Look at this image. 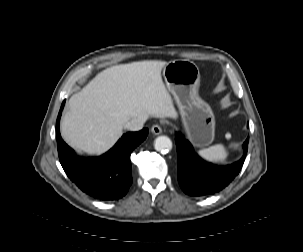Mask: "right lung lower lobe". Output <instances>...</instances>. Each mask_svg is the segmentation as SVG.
Returning a JSON list of instances; mask_svg holds the SVG:
<instances>
[{
    "mask_svg": "<svg viewBox=\"0 0 303 252\" xmlns=\"http://www.w3.org/2000/svg\"><path fill=\"white\" fill-rule=\"evenodd\" d=\"M61 105L56 123V138L60 163L67 176L86 194L100 200H115L123 197L132 184L131 152L148 135V129L129 132L102 156L95 158L77 157L63 141L59 131Z\"/></svg>",
    "mask_w": 303,
    "mask_h": 252,
    "instance_id": "1",
    "label": "right lung lower lobe"
}]
</instances>
